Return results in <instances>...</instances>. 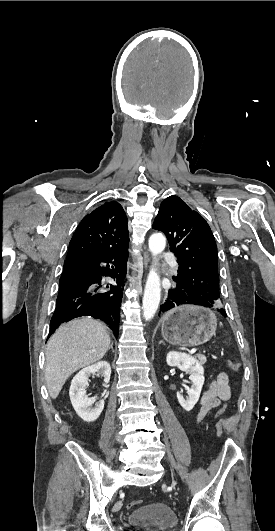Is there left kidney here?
Here are the masks:
<instances>
[{
  "mask_svg": "<svg viewBox=\"0 0 275 531\" xmlns=\"http://www.w3.org/2000/svg\"><path fill=\"white\" fill-rule=\"evenodd\" d=\"M167 365L169 367H178L180 371L189 373L190 381H192L191 389H187L189 397L184 399L180 393H176L177 399L185 409V411H192L194 405L198 403L202 387L204 385V369L194 357L186 355V353H176V351H170L166 357Z\"/></svg>",
  "mask_w": 275,
  "mask_h": 531,
  "instance_id": "left-kidney-1",
  "label": "left kidney"
}]
</instances>
